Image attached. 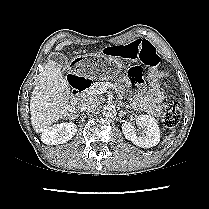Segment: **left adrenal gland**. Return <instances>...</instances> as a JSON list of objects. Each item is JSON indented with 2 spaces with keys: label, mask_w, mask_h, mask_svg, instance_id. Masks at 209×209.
<instances>
[{
  "label": "left adrenal gland",
  "mask_w": 209,
  "mask_h": 209,
  "mask_svg": "<svg viewBox=\"0 0 209 209\" xmlns=\"http://www.w3.org/2000/svg\"><path fill=\"white\" fill-rule=\"evenodd\" d=\"M120 105H121V106H123V105H124V103H120ZM126 107H128V106H126Z\"/></svg>",
  "instance_id": "a2214340"
}]
</instances>
